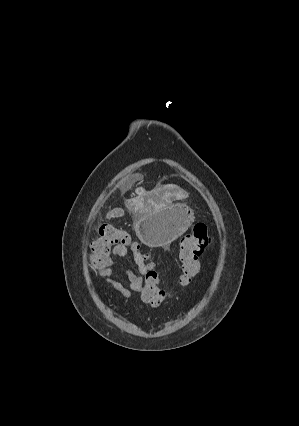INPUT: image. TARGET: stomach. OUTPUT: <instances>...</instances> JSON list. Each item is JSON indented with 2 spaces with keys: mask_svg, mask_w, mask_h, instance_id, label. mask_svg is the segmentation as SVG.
Returning a JSON list of instances; mask_svg holds the SVG:
<instances>
[{
  "mask_svg": "<svg viewBox=\"0 0 299 426\" xmlns=\"http://www.w3.org/2000/svg\"><path fill=\"white\" fill-rule=\"evenodd\" d=\"M194 212L186 204L155 207L134 219L140 241L151 248L165 247L184 234L194 221Z\"/></svg>",
  "mask_w": 299,
  "mask_h": 426,
  "instance_id": "stomach-1",
  "label": "stomach"
}]
</instances>
